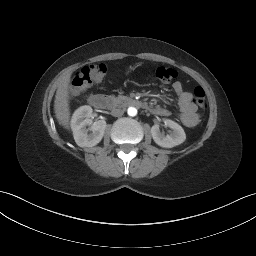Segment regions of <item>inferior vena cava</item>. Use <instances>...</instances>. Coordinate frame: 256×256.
Returning <instances> with one entry per match:
<instances>
[{
  "instance_id": "602c4592",
  "label": "inferior vena cava",
  "mask_w": 256,
  "mask_h": 256,
  "mask_svg": "<svg viewBox=\"0 0 256 256\" xmlns=\"http://www.w3.org/2000/svg\"><path fill=\"white\" fill-rule=\"evenodd\" d=\"M123 114H124V111L122 109H119V108H114L111 111V115L114 116V117H120Z\"/></svg>"
}]
</instances>
